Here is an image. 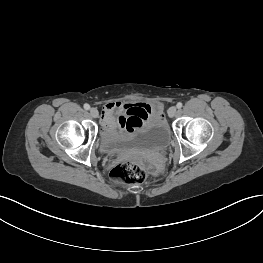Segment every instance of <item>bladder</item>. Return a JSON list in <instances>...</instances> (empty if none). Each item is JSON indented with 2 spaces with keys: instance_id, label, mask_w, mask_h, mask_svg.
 Segmentation results:
<instances>
[{
  "instance_id": "obj_1",
  "label": "bladder",
  "mask_w": 263,
  "mask_h": 263,
  "mask_svg": "<svg viewBox=\"0 0 263 263\" xmlns=\"http://www.w3.org/2000/svg\"><path fill=\"white\" fill-rule=\"evenodd\" d=\"M169 142V128L161 111L153 107L147 120L134 133L106 132L103 143L109 151L118 150L127 145H137L144 148H162Z\"/></svg>"
}]
</instances>
